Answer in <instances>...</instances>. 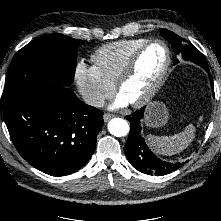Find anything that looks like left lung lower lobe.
Masks as SVG:
<instances>
[{"label": "left lung lower lobe", "instance_id": "obj_1", "mask_svg": "<svg viewBox=\"0 0 221 221\" xmlns=\"http://www.w3.org/2000/svg\"><path fill=\"white\" fill-rule=\"evenodd\" d=\"M208 72L211 87L214 94L213 81L209 69ZM144 107L140 110L126 116V119L130 121V136L124 146V152L131 163V165L138 171L148 174V175H166L178 168H180L183 163H169L160 160L155 156L154 153L147 146L144 137L141 134V120L143 118Z\"/></svg>", "mask_w": 221, "mask_h": 221}]
</instances>
